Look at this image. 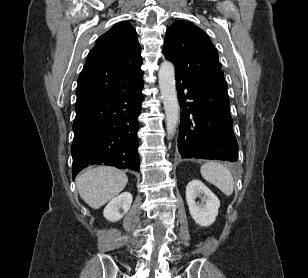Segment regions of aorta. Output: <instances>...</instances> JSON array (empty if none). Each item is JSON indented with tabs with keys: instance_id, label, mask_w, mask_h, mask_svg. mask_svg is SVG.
Segmentation results:
<instances>
[{
	"instance_id": "aorta-1",
	"label": "aorta",
	"mask_w": 308,
	"mask_h": 278,
	"mask_svg": "<svg viewBox=\"0 0 308 278\" xmlns=\"http://www.w3.org/2000/svg\"><path fill=\"white\" fill-rule=\"evenodd\" d=\"M158 79L166 115V130L168 136H172L178 123L179 103L175 84V68L171 62L164 61L161 63Z\"/></svg>"
}]
</instances>
